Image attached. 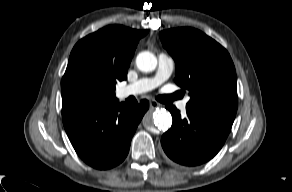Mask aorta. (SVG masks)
Instances as JSON below:
<instances>
[{"label":"aorta","instance_id":"aorta-1","mask_svg":"<svg viewBox=\"0 0 292 192\" xmlns=\"http://www.w3.org/2000/svg\"><path fill=\"white\" fill-rule=\"evenodd\" d=\"M136 64L140 71L151 72L157 66V58L151 52H141L136 58ZM171 124L172 116L165 109H158L151 117L146 116L143 119V125L149 130L156 128L160 131H166L171 127Z\"/></svg>","mask_w":292,"mask_h":192}]
</instances>
